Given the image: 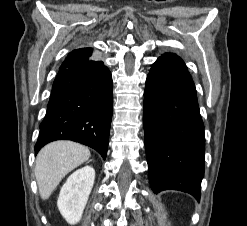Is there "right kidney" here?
<instances>
[{
    "label": "right kidney",
    "mask_w": 247,
    "mask_h": 226,
    "mask_svg": "<svg viewBox=\"0 0 247 226\" xmlns=\"http://www.w3.org/2000/svg\"><path fill=\"white\" fill-rule=\"evenodd\" d=\"M95 179V170L85 166L71 174L62 186L57 201L58 209L70 224L80 221Z\"/></svg>",
    "instance_id": "obj_1"
}]
</instances>
